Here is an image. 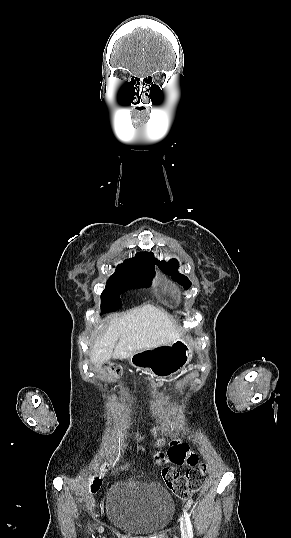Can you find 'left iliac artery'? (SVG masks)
Instances as JSON below:
<instances>
[{"label":"left iliac artery","instance_id":"44dca946","mask_svg":"<svg viewBox=\"0 0 291 538\" xmlns=\"http://www.w3.org/2000/svg\"><path fill=\"white\" fill-rule=\"evenodd\" d=\"M184 518L187 525L188 536L189 538H193V529H192L190 517H189V514L185 510H184Z\"/></svg>","mask_w":291,"mask_h":538}]
</instances>
